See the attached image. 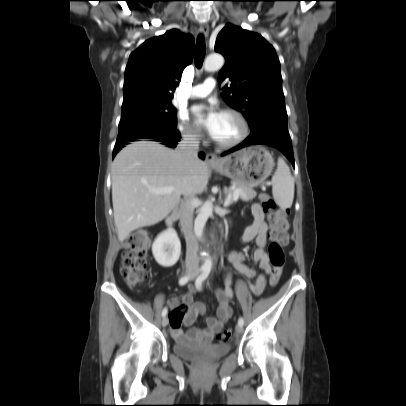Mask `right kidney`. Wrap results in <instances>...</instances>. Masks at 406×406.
<instances>
[{
	"label": "right kidney",
	"instance_id": "ca27d5eb",
	"mask_svg": "<svg viewBox=\"0 0 406 406\" xmlns=\"http://www.w3.org/2000/svg\"><path fill=\"white\" fill-rule=\"evenodd\" d=\"M156 262L163 267L173 266L179 259L181 243L175 230L168 229L160 233L152 245Z\"/></svg>",
	"mask_w": 406,
	"mask_h": 406
}]
</instances>
